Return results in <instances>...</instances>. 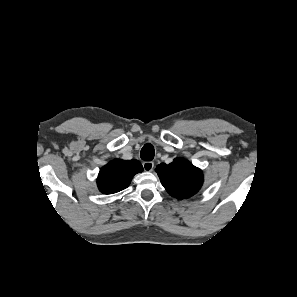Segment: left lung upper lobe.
<instances>
[{"instance_id":"left-lung-upper-lobe-1","label":"left lung upper lobe","mask_w":297,"mask_h":297,"mask_svg":"<svg viewBox=\"0 0 297 297\" xmlns=\"http://www.w3.org/2000/svg\"><path fill=\"white\" fill-rule=\"evenodd\" d=\"M156 172L168 193L177 199L193 196L203 183L202 171L182 158L175 159L169 165H158Z\"/></svg>"}]
</instances>
